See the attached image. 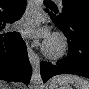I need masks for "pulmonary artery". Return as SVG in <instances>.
Returning <instances> with one entry per match:
<instances>
[{
    "label": "pulmonary artery",
    "instance_id": "1",
    "mask_svg": "<svg viewBox=\"0 0 89 89\" xmlns=\"http://www.w3.org/2000/svg\"><path fill=\"white\" fill-rule=\"evenodd\" d=\"M57 2H58L59 4H61L62 0H57Z\"/></svg>",
    "mask_w": 89,
    "mask_h": 89
}]
</instances>
